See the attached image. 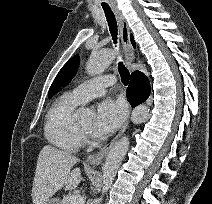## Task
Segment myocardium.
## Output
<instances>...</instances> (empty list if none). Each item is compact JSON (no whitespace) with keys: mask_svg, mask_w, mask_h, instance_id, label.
Returning a JSON list of instances; mask_svg holds the SVG:
<instances>
[{"mask_svg":"<svg viewBox=\"0 0 212 204\" xmlns=\"http://www.w3.org/2000/svg\"><path fill=\"white\" fill-rule=\"evenodd\" d=\"M77 126L82 135L88 134L89 130L84 128L79 122H77Z\"/></svg>","mask_w":212,"mask_h":204,"instance_id":"obj_1","label":"myocardium"}]
</instances>
